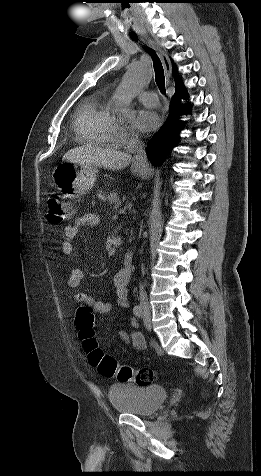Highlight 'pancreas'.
Returning a JSON list of instances; mask_svg holds the SVG:
<instances>
[{"label": "pancreas", "instance_id": "cf45deb5", "mask_svg": "<svg viewBox=\"0 0 261 476\" xmlns=\"http://www.w3.org/2000/svg\"><path fill=\"white\" fill-rule=\"evenodd\" d=\"M100 198L107 202L110 207L113 205V210H117L119 207H121V200L118 193L116 192L100 194Z\"/></svg>", "mask_w": 261, "mask_h": 476}]
</instances>
